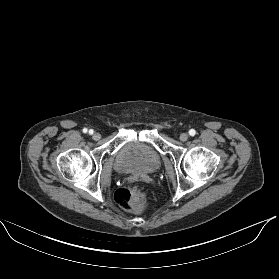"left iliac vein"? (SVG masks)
I'll use <instances>...</instances> for the list:
<instances>
[{
  "label": "left iliac vein",
  "instance_id": "left-iliac-vein-1",
  "mask_svg": "<svg viewBox=\"0 0 279 279\" xmlns=\"http://www.w3.org/2000/svg\"><path fill=\"white\" fill-rule=\"evenodd\" d=\"M188 134L187 133H182L181 135H180V140L181 141H183V142H185V141H187L188 140Z\"/></svg>",
  "mask_w": 279,
  "mask_h": 279
}]
</instances>
